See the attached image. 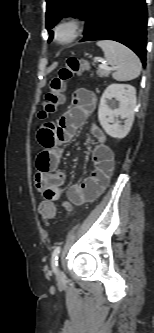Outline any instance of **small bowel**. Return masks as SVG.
<instances>
[{
	"instance_id": "c3829d8e",
	"label": "small bowel",
	"mask_w": 154,
	"mask_h": 333,
	"mask_svg": "<svg viewBox=\"0 0 154 333\" xmlns=\"http://www.w3.org/2000/svg\"><path fill=\"white\" fill-rule=\"evenodd\" d=\"M94 92L86 88L77 89L72 95L71 107L57 123L45 122L37 138L42 146L37 156L35 186L44 198L52 203L60 200L65 176L59 169L62 146L67 144L92 115L96 107ZM95 140L92 151L94 168L83 181L71 185L67 190L63 207L70 211L73 205H82L98 198L107 188L114 170V156L107 145L105 132L96 124L90 126Z\"/></svg>"
}]
</instances>
